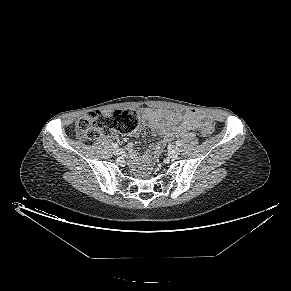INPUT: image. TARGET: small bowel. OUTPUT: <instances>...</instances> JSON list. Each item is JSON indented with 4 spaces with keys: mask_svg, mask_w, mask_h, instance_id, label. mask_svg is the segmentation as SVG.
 Here are the masks:
<instances>
[{
    "mask_svg": "<svg viewBox=\"0 0 291 291\" xmlns=\"http://www.w3.org/2000/svg\"><path fill=\"white\" fill-rule=\"evenodd\" d=\"M142 121L145 126L153 128L156 135L161 137V140L153 144L142 156L137 155L131 145H129V150L131 158L135 162L150 163L170 138L199 128L208 122V119L195 111L170 112L162 109L145 108L142 110Z\"/></svg>",
    "mask_w": 291,
    "mask_h": 291,
    "instance_id": "small-bowel-1",
    "label": "small bowel"
}]
</instances>
